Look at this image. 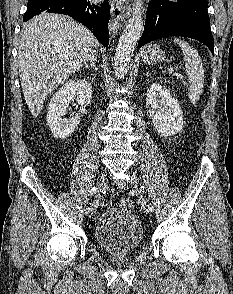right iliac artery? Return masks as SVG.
<instances>
[{"label": "right iliac artery", "instance_id": "obj_1", "mask_svg": "<svg viewBox=\"0 0 233 294\" xmlns=\"http://www.w3.org/2000/svg\"><path fill=\"white\" fill-rule=\"evenodd\" d=\"M98 192V188L97 187H93L90 191L91 195H95ZM91 211L90 208H86L85 210V214H89Z\"/></svg>", "mask_w": 233, "mask_h": 294}]
</instances>
